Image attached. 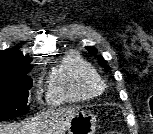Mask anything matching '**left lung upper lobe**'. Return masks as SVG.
Returning a JSON list of instances; mask_svg holds the SVG:
<instances>
[{"label":"left lung upper lobe","instance_id":"left-lung-upper-lobe-1","mask_svg":"<svg viewBox=\"0 0 153 134\" xmlns=\"http://www.w3.org/2000/svg\"><path fill=\"white\" fill-rule=\"evenodd\" d=\"M86 48H87V50L90 52L91 55H96V53H97L96 49L91 48V47H89V46H87ZM99 63H100L101 65H104V64H105V61L103 60L102 57H99Z\"/></svg>","mask_w":153,"mask_h":134}]
</instances>
